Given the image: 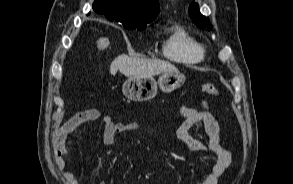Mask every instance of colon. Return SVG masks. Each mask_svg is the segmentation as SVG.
Listing matches in <instances>:
<instances>
[{
	"label": "colon",
	"instance_id": "obj_1",
	"mask_svg": "<svg viewBox=\"0 0 293 184\" xmlns=\"http://www.w3.org/2000/svg\"><path fill=\"white\" fill-rule=\"evenodd\" d=\"M110 41L105 36H99L94 40L93 51L96 53L106 51L109 47ZM201 90L212 96H217L219 94L218 89L210 83H204L201 85ZM68 142L67 138H60L57 142V152L58 154H66L68 152Z\"/></svg>",
	"mask_w": 293,
	"mask_h": 184
}]
</instances>
